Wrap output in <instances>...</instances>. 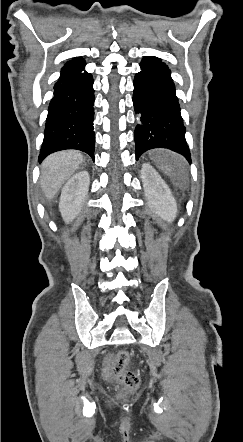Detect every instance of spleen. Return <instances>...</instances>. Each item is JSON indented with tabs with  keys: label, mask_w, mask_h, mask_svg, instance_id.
Segmentation results:
<instances>
[{
	"label": "spleen",
	"mask_w": 243,
	"mask_h": 442,
	"mask_svg": "<svg viewBox=\"0 0 243 442\" xmlns=\"http://www.w3.org/2000/svg\"><path fill=\"white\" fill-rule=\"evenodd\" d=\"M161 169L163 171H165V173H168V171L171 169L170 166H168L167 164L161 165Z\"/></svg>",
	"instance_id": "1"
}]
</instances>
